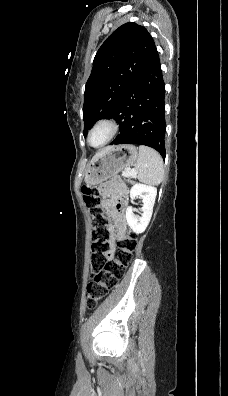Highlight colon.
<instances>
[{"instance_id":"obj_1","label":"colon","mask_w":228,"mask_h":396,"mask_svg":"<svg viewBox=\"0 0 228 396\" xmlns=\"http://www.w3.org/2000/svg\"><path fill=\"white\" fill-rule=\"evenodd\" d=\"M114 181L123 186L119 178ZM82 197L92 219L91 268L95 272L93 281L87 286V306L94 308L113 289L123 276L126 266L133 259L137 247V235L127 232L119 242V249L110 255L109 219L102 206L100 192L95 186L84 185Z\"/></svg>"}]
</instances>
